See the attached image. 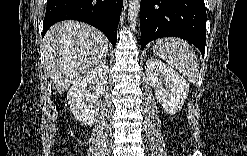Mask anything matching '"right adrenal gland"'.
<instances>
[{
    "mask_svg": "<svg viewBox=\"0 0 247 156\" xmlns=\"http://www.w3.org/2000/svg\"><path fill=\"white\" fill-rule=\"evenodd\" d=\"M107 55H109L108 52H107ZM107 55H106V56H107ZM106 56H105V57L103 58V60H102L103 63H106Z\"/></svg>",
    "mask_w": 247,
    "mask_h": 156,
    "instance_id": "1",
    "label": "right adrenal gland"
}]
</instances>
